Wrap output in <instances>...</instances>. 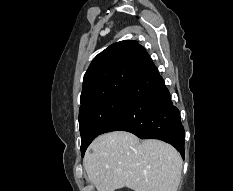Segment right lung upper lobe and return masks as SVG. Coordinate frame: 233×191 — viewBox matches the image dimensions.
I'll return each mask as SVG.
<instances>
[{"label": "right lung upper lobe", "instance_id": "obj_1", "mask_svg": "<svg viewBox=\"0 0 233 191\" xmlns=\"http://www.w3.org/2000/svg\"><path fill=\"white\" fill-rule=\"evenodd\" d=\"M150 61L137 41H120L106 48L93 59L84 75L80 108L128 91Z\"/></svg>", "mask_w": 233, "mask_h": 191}]
</instances>
